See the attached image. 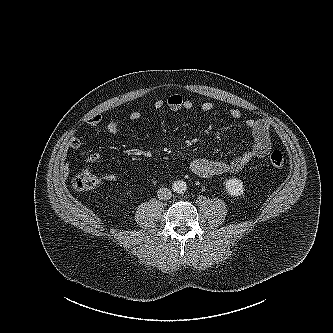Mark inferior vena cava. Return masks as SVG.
Segmentation results:
<instances>
[{"instance_id": "inferior-vena-cava-1", "label": "inferior vena cava", "mask_w": 333, "mask_h": 333, "mask_svg": "<svg viewBox=\"0 0 333 333\" xmlns=\"http://www.w3.org/2000/svg\"><path fill=\"white\" fill-rule=\"evenodd\" d=\"M157 196L160 200H169L172 193L168 188H160L157 192Z\"/></svg>"}]
</instances>
